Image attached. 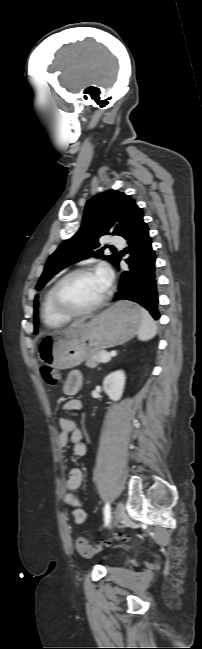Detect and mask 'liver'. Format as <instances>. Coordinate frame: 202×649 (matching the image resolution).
I'll return each instance as SVG.
<instances>
[{
	"mask_svg": "<svg viewBox=\"0 0 202 649\" xmlns=\"http://www.w3.org/2000/svg\"><path fill=\"white\" fill-rule=\"evenodd\" d=\"M85 320H86V319L76 320L75 322H73V323L70 325V327H76V326H79V325H80L81 323H83Z\"/></svg>",
	"mask_w": 202,
	"mask_h": 649,
	"instance_id": "6515ba94",
	"label": "liver"
}]
</instances>
